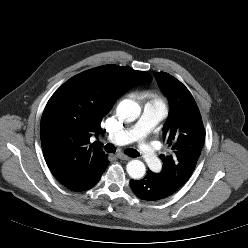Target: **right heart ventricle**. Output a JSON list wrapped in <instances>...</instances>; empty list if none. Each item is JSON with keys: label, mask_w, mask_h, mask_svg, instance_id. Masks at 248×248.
Wrapping results in <instances>:
<instances>
[{"label": "right heart ventricle", "mask_w": 248, "mask_h": 248, "mask_svg": "<svg viewBox=\"0 0 248 248\" xmlns=\"http://www.w3.org/2000/svg\"><path fill=\"white\" fill-rule=\"evenodd\" d=\"M144 96L147 97L150 100L149 103H153V104H158V105L164 106L163 100L157 94L146 93V94H144Z\"/></svg>", "instance_id": "obj_1"}]
</instances>
